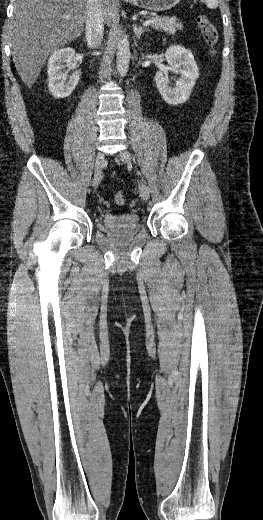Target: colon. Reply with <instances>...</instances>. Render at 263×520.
I'll return each instance as SVG.
<instances>
[{
  "mask_svg": "<svg viewBox=\"0 0 263 520\" xmlns=\"http://www.w3.org/2000/svg\"><path fill=\"white\" fill-rule=\"evenodd\" d=\"M196 23L205 44L209 48L210 53L214 54L215 49L219 43V33L215 24L206 15L197 16ZM115 202L120 206L125 204L126 196L124 192L119 191L116 193Z\"/></svg>",
  "mask_w": 263,
  "mask_h": 520,
  "instance_id": "colon-1",
  "label": "colon"
}]
</instances>
